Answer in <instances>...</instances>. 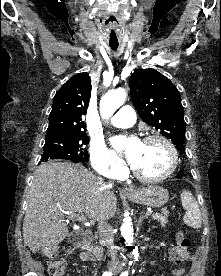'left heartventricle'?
<instances>
[{
	"label": "left heart ventricle",
	"mask_w": 221,
	"mask_h": 276,
	"mask_svg": "<svg viewBox=\"0 0 221 276\" xmlns=\"http://www.w3.org/2000/svg\"><path fill=\"white\" fill-rule=\"evenodd\" d=\"M170 163L166 146L157 140L141 143L134 166L144 175L157 176L165 172Z\"/></svg>",
	"instance_id": "b2bd125f"
}]
</instances>
